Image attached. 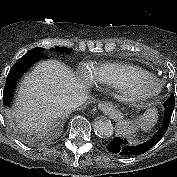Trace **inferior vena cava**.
Segmentation results:
<instances>
[{
    "mask_svg": "<svg viewBox=\"0 0 177 177\" xmlns=\"http://www.w3.org/2000/svg\"><path fill=\"white\" fill-rule=\"evenodd\" d=\"M88 96L84 92L74 93L72 95L66 96L61 100L60 106L64 111H70L78 108L84 102H86Z\"/></svg>",
    "mask_w": 177,
    "mask_h": 177,
    "instance_id": "inferior-vena-cava-1",
    "label": "inferior vena cava"
}]
</instances>
